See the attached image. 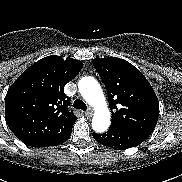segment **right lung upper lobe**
Wrapping results in <instances>:
<instances>
[{
	"label": "right lung upper lobe",
	"mask_w": 182,
	"mask_h": 182,
	"mask_svg": "<svg viewBox=\"0 0 182 182\" xmlns=\"http://www.w3.org/2000/svg\"><path fill=\"white\" fill-rule=\"evenodd\" d=\"M83 63L57 55L47 56L26 69L10 86L5 119L10 130L27 145L70 130L77 120L68 110L64 86L77 76Z\"/></svg>",
	"instance_id": "right-lung-upper-lobe-1"
}]
</instances>
